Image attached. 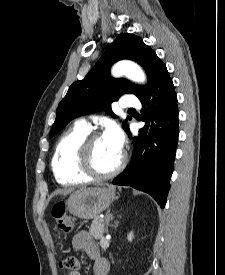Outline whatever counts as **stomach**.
<instances>
[{"label":"stomach","mask_w":225,"mask_h":275,"mask_svg":"<svg viewBox=\"0 0 225 275\" xmlns=\"http://www.w3.org/2000/svg\"><path fill=\"white\" fill-rule=\"evenodd\" d=\"M115 199V191L107 187L85 188L74 192L66 201V210L80 219H93L105 211Z\"/></svg>","instance_id":"1"}]
</instances>
